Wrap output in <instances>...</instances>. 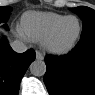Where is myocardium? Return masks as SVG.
Returning a JSON list of instances; mask_svg holds the SVG:
<instances>
[{"instance_id": "1", "label": "myocardium", "mask_w": 95, "mask_h": 95, "mask_svg": "<svg viewBox=\"0 0 95 95\" xmlns=\"http://www.w3.org/2000/svg\"><path fill=\"white\" fill-rule=\"evenodd\" d=\"M71 18L76 19L79 23V31H78L76 38L67 45H64V46L56 45L53 41L54 36L58 32V30L62 27V25L65 23V21ZM82 33H83V23L81 19L76 15H68V16H65L63 19H61L56 25H54L50 29V31L41 40V45L45 51L51 54H56V55L65 54L71 51L77 45V43L81 39Z\"/></svg>"}]
</instances>
